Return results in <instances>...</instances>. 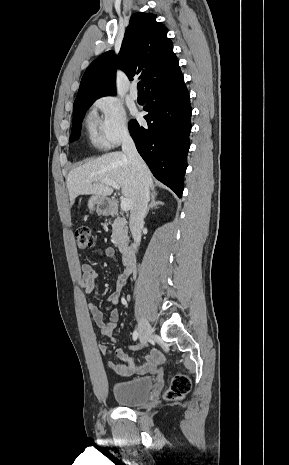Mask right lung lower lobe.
<instances>
[{
  "mask_svg": "<svg viewBox=\"0 0 289 465\" xmlns=\"http://www.w3.org/2000/svg\"><path fill=\"white\" fill-rule=\"evenodd\" d=\"M148 126L129 123L137 150L153 175L182 197L191 131L190 97L183 77L146 92Z\"/></svg>",
  "mask_w": 289,
  "mask_h": 465,
  "instance_id": "obj_1",
  "label": "right lung lower lobe"
}]
</instances>
